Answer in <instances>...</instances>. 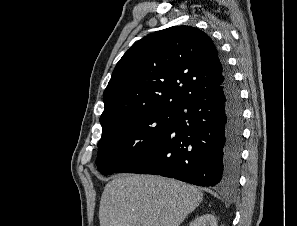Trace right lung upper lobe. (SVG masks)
Listing matches in <instances>:
<instances>
[{
	"mask_svg": "<svg viewBox=\"0 0 297 226\" xmlns=\"http://www.w3.org/2000/svg\"><path fill=\"white\" fill-rule=\"evenodd\" d=\"M212 39L191 26H173L136 42L117 63L104 91L102 128L151 111H176L224 81Z\"/></svg>",
	"mask_w": 297,
	"mask_h": 226,
	"instance_id": "1",
	"label": "right lung upper lobe"
}]
</instances>
